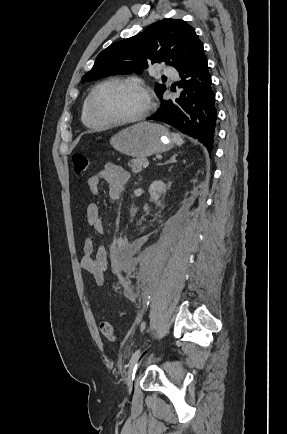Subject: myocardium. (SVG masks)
<instances>
[{"label": "myocardium", "instance_id": "obj_1", "mask_svg": "<svg viewBox=\"0 0 287 434\" xmlns=\"http://www.w3.org/2000/svg\"><path fill=\"white\" fill-rule=\"evenodd\" d=\"M110 84L130 86V87H134V88L141 90L146 95L147 100H148L146 108L140 114L133 116V117H130V118H125V119H108V118H104V117L100 116L97 113V111L95 110L94 100H95V97H96L98 91L101 88H103L104 86H107ZM87 108H88V112H89L90 116L95 121H97L99 124L122 126V125L135 124V123H138V122L144 120L152 111L153 101H152V97H151V94H150L148 87L142 81H139L136 79H128V78H109V79H106V80L100 82L99 84H97L93 88V90L91 91V93L89 94V96L87 98Z\"/></svg>", "mask_w": 287, "mask_h": 434}]
</instances>
